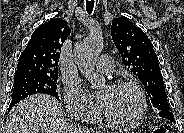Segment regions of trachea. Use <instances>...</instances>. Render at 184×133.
Listing matches in <instances>:
<instances>
[{
    "label": "trachea",
    "instance_id": "1",
    "mask_svg": "<svg viewBox=\"0 0 184 133\" xmlns=\"http://www.w3.org/2000/svg\"><path fill=\"white\" fill-rule=\"evenodd\" d=\"M94 8V0H86V11L91 14Z\"/></svg>",
    "mask_w": 184,
    "mask_h": 133
}]
</instances>
